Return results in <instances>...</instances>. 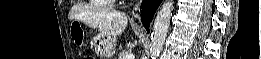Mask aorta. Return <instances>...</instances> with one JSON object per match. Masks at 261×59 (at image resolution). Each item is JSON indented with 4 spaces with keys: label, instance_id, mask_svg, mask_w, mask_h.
<instances>
[{
    "label": "aorta",
    "instance_id": "aorta-1",
    "mask_svg": "<svg viewBox=\"0 0 261 59\" xmlns=\"http://www.w3.org/2000/svg\"><path fill=\"white\" fill-rule=\"evenodd\" d=\"M173 10L174 1L165 0L157 12L151 33V42L149 48L151 59H156L163 48V44L169 30Z\"/></svg>",
    "mask_w": 261,
    "mask_h": 59
}]
</instances>
